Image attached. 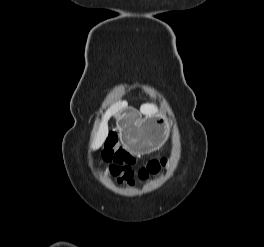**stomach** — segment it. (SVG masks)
<instances>
[{
    "instance_id": "0dacf381",
    "label": "stomach",
    "mask_w": 264,
    "mask_h": 247,
    "mask_svg": "<svg viewBox=\"0 0 264 247\" xmlns=\"http://www.w3.org/2000/svg\"><path fill=\"white\" fill-rule=\"evenodd\" d=\"M123 144L133 152L147 154L162 146L167 138V124L158 115L136 118L129 110L116 116Z\"/></svg>"
}]
</instances>
